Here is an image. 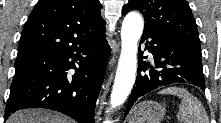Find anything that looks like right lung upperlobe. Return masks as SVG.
Wrapping results in <instances>:
<instances>
[{
  "instance_id": "obj_1",
  "label": "right lung upper lobe",
  "mask_w": 221,
  "mask_h": 123,
  "mask_svg": "<svg viewBox=\"0 0 221 123\" xmlns=\"http://www.w3.org/2000/svg\"><path fill=\"white\" fill-rule=\"evenodd\" d=\"M99 0H39L21 33L18 57L60 51L105 33Z\"/></svg>"
}]
</instances>
